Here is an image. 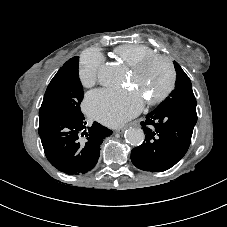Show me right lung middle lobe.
<instances>
[{
  "label": "right lung middle lobe",
  "instance_id": "right-lung-middle-lobe-1",
  "mask_svg": "<svg viewBox=\"0 0 227 227\" xmlns=\"http://www.w3.org/2000/svg\"><path fill=\"white\" fill-rule=\"evenodd\" d=\"M83 89L78 77V57L68 60L51 80L39 110V126L62 117H82Z\"/></svg>",
  "mask_w": 227,
  "mask_h": 227
}]
</instances>
